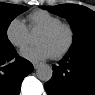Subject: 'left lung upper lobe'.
I'll return each instance as SVG.
<instances>
[{"label":"left lung upper lobe","instance_id":"left-lung-upper-lobe-1","mask_svg":"<svg viewBox=\"0 0 95 95\" xmlns=\"http://www.w3.org/2000/svg\"><path fill=\"white\" fill-rule=\"evenodd\" d=\"M46 10L67 18L72 25L74 40L69 52L95 46V12L87 7L75 4L45 6Z\"/></svg>","mask_w":95,"mask_h":95}]
</instances>
